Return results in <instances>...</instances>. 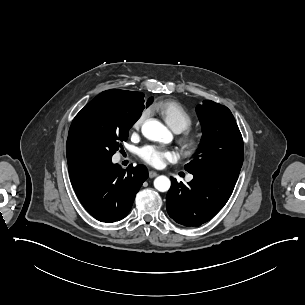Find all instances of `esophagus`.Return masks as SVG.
<instances>
[{"label":"esophagus","instance_id":"34e87169","mask_svg":"<svg viewBox=\"0 0 305 305\" xmlns=\"http://www.w3.org/2000/svg\"><path fill=\"white\" fill-rule=\"evenodd\" d=\"M158 174L156 173V172H154V171H149V178H154V177H156Z\"/></svg>","mask_w":305,"mask_h":305}]
</instances>
